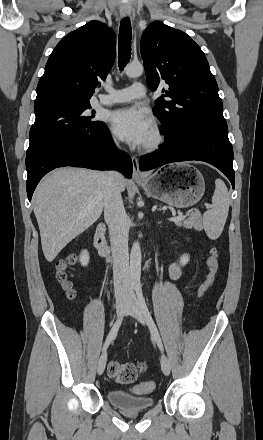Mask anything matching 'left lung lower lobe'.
<instances>
[{
	"instance_id": "left-lung-lower-lobe-1",
	"label": "left lung lower lobe",
	"mask_w": 263,
	"mask_h": 440,
	"mask_svg": "<svg viewBox=\"0 0 263 440\" xmlns=\"http://www.w3.org/2000/svg\"><path fill=\"white\" fill-rule=\"evenodd\" d=\"M163 133L167 139L158 152L140 157L141 171L172 162L204 161L222 171L234 188L233 148L228 138L227 124H216L200 130L197 139L185 147L179 145L176 141L179 138L171 132L163 130Z\"/></svg>"
}]
</instances>
